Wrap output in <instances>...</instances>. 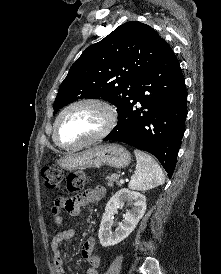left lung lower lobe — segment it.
Segmentation results:
<instances>
[{
	"label": "left lung lower lobe",
	"instance_id": "obj_1",
	"mask_svg": "<svg viewBox=\"0 0 221 274\" xmlns=\"http://www.w3.org/2000/svg\"><path fill=\"white\" fill-rule=\"evenodd\" d=\"M186 116L185 79L169 48L142 75L135 96L118 112L117 125L104 140L124 142L153 154L171 178Z\"/></svg>",
	"mask_w": 221,
	"mask_h": 274
}]
</instances>
